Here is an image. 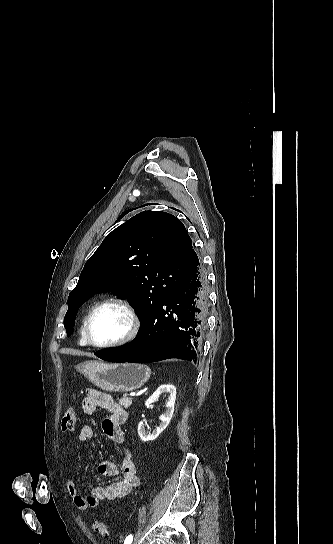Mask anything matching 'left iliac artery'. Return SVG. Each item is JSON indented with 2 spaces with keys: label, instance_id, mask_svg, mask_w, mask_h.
Masks as SVG:
<instances>
[{
  "label": "left iliac artery",
  "instance_id": "1",
  "mask_svg": "<svg viewBox=\"0 0 333 544\" xmlns=\"http://www.w3.org/2000/svg\"><path fill=\"white\" fill-rule=\"evenodd\" d=\"M133 541V535L130 534L126 537L125 541H124V544H131Z\"/></svg>",
  "mask_w": 333,
  "mask_h": 544
}]
</instances>
